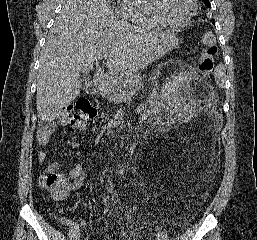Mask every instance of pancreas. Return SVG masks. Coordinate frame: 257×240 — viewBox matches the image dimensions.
I'll list each match as a JSON object with an SVG mask.
<instances>
[{
    "instance_id": "1",
    "label": "pancreas",
    "mask_w": 257,
    "mask_h": 240,
    "mask_svg": "<svg viewBox=\"0 0 257 240\" xmlns=\"http://www.w3.org/2000/svg\"><path fill=\"white\" fill-rule=\"evenodd\" d=\"M144 78V77H143ZM137 72H127V78L115 86L104 85L101 88V96L110 102H119L133 95L144 80ZM125 93L124 96H121Z\"/></svg>"
}]
</instances>
